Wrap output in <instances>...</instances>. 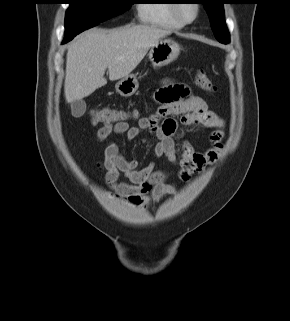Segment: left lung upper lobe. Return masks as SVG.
<instances>
[{
	"label": "left lung upper lobe",
	"mask_w": 290,
	"mask_h": 321,
	"mask_svg": "<svg viewBox=\"0 0 290 321\" xmlns=\"http://www.w3.org/2000/svg\"><path fill=\"white\" fill-rule=\"evenodd\" d=\"M210 19L211 28L216 39L222 43L229 42V32L225 24L223 0H202Z\"/></svg>",
	"instance_id": "obj_1"
}]
</instances>
